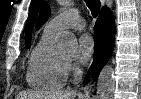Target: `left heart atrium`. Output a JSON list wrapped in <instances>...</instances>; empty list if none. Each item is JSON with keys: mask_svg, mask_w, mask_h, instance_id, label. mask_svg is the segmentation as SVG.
Listing matches in <instances>:
<instances>
[{"mask_svg": "<svg viewBox=\"0 0 141 99\" xmlns=\"http://www.w3.org/2000/svg\"><path fill=\"white\" fill-rule=\"evenodd\" d=\"M95 47L94 39L89 34H83L78 39V60L86 62L93 54Z\"/></svg>", "mask_w": 141, "mask_h": 99, "instance_id": "39dd6f15", "label": "left heart atrium"}]
</instances>
